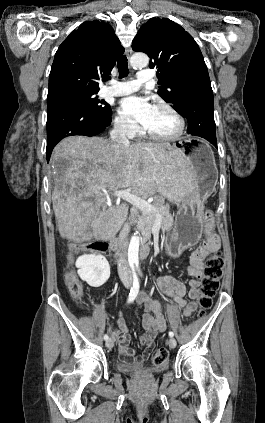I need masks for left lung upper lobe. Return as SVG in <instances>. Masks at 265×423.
Instances as JSON below:
<instances>
[{
  "label": "left lung upper lobe",
  "mask_w": 265,
  "mask_h": 423,
  "mask_svg": "<svg viewBox=\"0 0 265 423\" xmlns=\"http://www.w3.org/2000/svg\"><path fill=\"white\" fill-rule=\"evenodd\" d=\"M135 51L150 57L149 67L156 69L158 94L182 109V95L192 84L210 80L198 44L177 23L166 18H152L142 25L132 42Z\"/></svg>",
  "instance_id": "obj_1"
}]
</instances>
